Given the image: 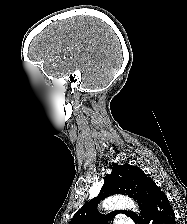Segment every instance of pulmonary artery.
<instances>
[{
  "label": "pulmonary artery",
  "instance_id": "1",
  "mask_svg": "<svg viewBox=\"0 0 187 224\" xmlns=\"http://www.w3.org/2000/svg\"><path fill=\"white\" fill-rule=\"evenodd\" d=\"M115 224H134V221L126 217L120 216L116 219Z\"/></svg>",
  "mask_w": 187,
  "mask_h": 224
}]
</instances>
